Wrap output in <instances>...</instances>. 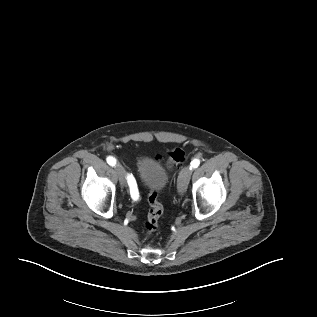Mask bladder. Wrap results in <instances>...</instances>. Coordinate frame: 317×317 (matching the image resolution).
Instances as JSON below:
<instances>
[{"mask_svg":"<svg viewBox=\"0 0 317 317\" xmlns=\"http://www.w3.org/2000/svg\"><path fill=\"white\" fill-rule=\"evenodd\" d=\"M137 171L144 186L150 191L159 193L168 183V172L157 161L141 157L137 162Z\"/></svg>","mask_w":317,"mask_h":317,"instance_id":"31cf9c89","label":"bladder"}]
</instances>
